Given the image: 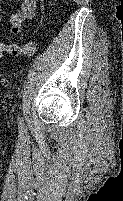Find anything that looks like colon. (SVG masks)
<instances>
[{"instance_id": "5ec220e1", "label": "colon", "mask_w": 123, "mask_h": 201, "mask_svg": "<svg viewBox=\"0 0 123 201\" xmlns=\"http://www.w3.org/2000/svg\"><path fill=\"white\" fill-rule=\"evenodd\" d=\"M37 41H29L24 45L0 43V60L6 54L12 56H31L38 47Z\"/></svg>"}]
</instances>
